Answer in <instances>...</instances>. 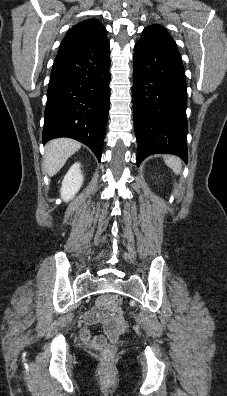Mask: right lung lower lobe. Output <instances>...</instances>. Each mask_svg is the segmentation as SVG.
Wrapping results in <instances>:
<instances>
[{"label":"right lung lower lobe","mask_w":227,"mask_h":396,"mask_svg":"<svg viewBox=\"0 0 227 396\" xmlns=\"http://www.w3.org/2000/svg\"><path fill=\"white\" fill-rule=\"evenodd\" d=\"M109 41L59 53L50 76L43 143L69 137L87 145L101 160L110 98Z\"/></svg>","instance_id":"obj_1"}]
</instances>
